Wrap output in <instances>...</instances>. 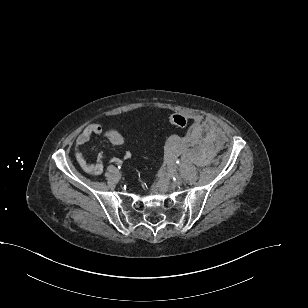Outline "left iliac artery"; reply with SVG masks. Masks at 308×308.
Listing matches in <instances>:
<instances>
[{
  "label": "left iliac artery",
  "instance_id": "44dca946",
  "mask_svg": "<svg viewBox=\"0 0 308 308\" xmlns=\"http://www.w3.org/2000/svg\"><path fill=\"white\" fill-rule=\"evenodd\" d=\"M176 163H177V164H179V163H180V161H177ZM174 179H175V178H174Z\"/></svg>",
  "mask_w": 308,
  "mask_h": 308
}]
</instances>
